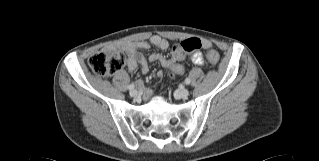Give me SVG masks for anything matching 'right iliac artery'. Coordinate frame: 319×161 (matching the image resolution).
<instances>
[{"mask_svg":"<svg viewBox=\"0 0 319 161\" xmlns=\"http://www.w3.org/2000/svg\"><path fill=\"white\" fill-rule=\"evenodd\" d=\"M135 88V85L134 84H130L129 86H128V89L129 90H133Z\"/></svg>","mask_w":319,"mask_h":161,"instance_id":"82829eb1","label":"right iliac artery"}]
</instances>
